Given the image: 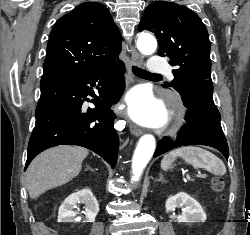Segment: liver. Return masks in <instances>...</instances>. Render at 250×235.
<instances>
[{"label": "liver", "instance_id": "6515ba94", "mask_svg": "<svg viewBox=\"0 0 250 235\" xmlns=\"http://www.w3.org/2000/svg\"><path fill=\"white\" fill-rule=\"evenodd\" d=\"M88 150L78 146L62 145L39 154L26 172V187L32 199L47 190L66 184L82 169Z\"/></svg>", "mask_w": 250, "mask_h": 235}]
</instances>
